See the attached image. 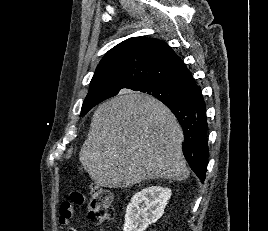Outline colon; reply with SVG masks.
<instances>
[{"instance_id":"colon-1","label":"colon","mask_w":268,"mask_h":231,"mask_svg":"<svg viewBox=\"0 0 268 231\" xmlns=\"http://www.w3.org/2000/svg\"><path fill=\"white\" fill-rule=\"evenodd\" d=\"M89 217L96 224L107 222L113 215L112 194L104 187L92 184L89 189ZM81 200V197H79Z\"/></svg>"}]
</instances>
